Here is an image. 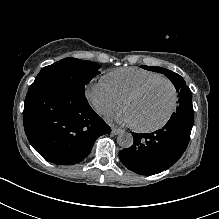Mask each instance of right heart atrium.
Masks as SVG:
<instances>
[{
  "mask_svg": "<svg viewBox=\"0 0 219 219\" xmlns=\"http://www.w3.org/2000/svg\"><path fill=\"white\" fill-rule=\"evenodd\" d=\"M85 95L95 111L103 116H110L123 106L122 101L113 94L105 80L89 85Z\"/></svg>",
  "mask_w": 219,
  "mask_h": 219,
  "instance_id": "1",
  "label": "right heart atrium"
}]
</instances>
